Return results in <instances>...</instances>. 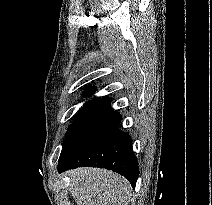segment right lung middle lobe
Returning <instances> with one entry per match:
<instances>
[{
    "instance_id": "right-lung-middle-lobe-1",
    "label": "right lung middle lobe",
    "mask_w": 212,
    "mask_h": 205,
    "mask_svg": "<svg viewBox=\"0 0 212 205\" xmlns=\"http://www.w3.org/2000/svg\"><path fill=\"white\" fill-rule=\"evenodd\" d=\"M99 102L100 99H93L86 102L82 110L76 115L75 121L67 129L61 155L68 149L75 137L94 114Z\"/></svg>"
}]
</instances>
